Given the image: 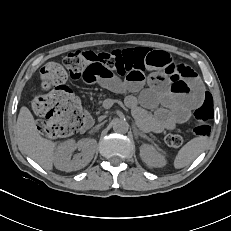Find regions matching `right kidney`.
<instances>
[{
  "mask_svg": "<svg viewBox=\"0 0 231 231\" xmlns=\"http://www.w3.org/2000/svg\"><path fill=\"white\" fill-rule=\"evenodd\" d=\"M97 142L95 139L84 138L75 142L67 140L61 143L55 152L54 165L61 171H76L84 168L93 158ZM80 149L81 153L75 154L71 159V154Z\"/></svg>",
  "mask_w": 231,
  "mask_h": 231,
  "instance_id": "obj_1",
  "label": "right kidney"
}]
</instances>
